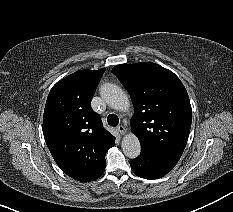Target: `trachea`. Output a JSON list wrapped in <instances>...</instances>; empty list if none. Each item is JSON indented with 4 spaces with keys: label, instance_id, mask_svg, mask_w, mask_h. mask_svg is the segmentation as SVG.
I'll list each match as a JSON object with an SVG mask.
<instances>
[{
    "label": "trachea",
    "instance_id": "1",
    "mask_svg": "<svg viewBox=\"0 0 233 212\" xmlns=\"http://www.w3.org/2000/svg\"><path fill=\"white\" fill-rule=\"evenodd\" d=\"M107 122L110 126H117L119 124V118L115 114H109Z\"/></svg>",
    "mask_w": 233,
    "mask_h": 212
}]
</instances>
